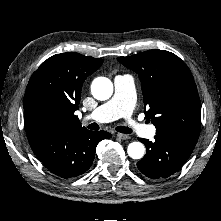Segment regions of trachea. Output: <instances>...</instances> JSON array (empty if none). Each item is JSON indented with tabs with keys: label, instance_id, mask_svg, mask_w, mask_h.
Returning a JSON list of instances; mask_svg holds the SVG:
<instances>
[{
	"label": "trachea",
	"instance_id": "trachea-1",
	"mask_svg": "<svg viewBox=\"0 0 221 221\" xmlns=\"http://www.w3.org/2000/svg\"><path fill=\"white\" fill-rule=\"evenodd\" d=\"M89 128L92 130H99V125L96 123H92L91 125H89ZM116 131H118L120 133H125V134L132 133V130L128 127H125V126L116 127Z\"/></svg>",
	"mask_w": 221,
	"mask_h": 221
}]
</instances>
